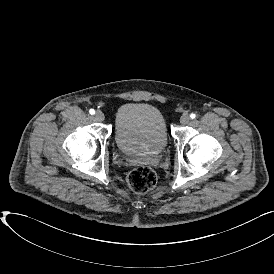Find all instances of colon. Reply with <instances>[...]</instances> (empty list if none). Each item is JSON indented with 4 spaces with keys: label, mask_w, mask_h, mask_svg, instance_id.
<instances>
[{
    "label": "colon",
    "mask_w": 274,
    "mask_h": 274,
    "mask_svg": "<svg viewBox=\"0 0 274 274\" xmlns=\"http://www.w3.org/2000/svg\"><path fill=\"white\" fill-rule=\"evenodd\" d=\"M128 186L138 194H145L156 186V174L147 167L132 170L127 179Z\"/></svg>",
    "instance_id": "colon-1"
}]
</instances>
